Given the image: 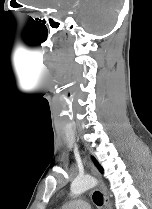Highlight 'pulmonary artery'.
<instances>
[{
    "label": "pulmonary artery",
    "instance_id": "1",
    "mask_svg": "<svg viewBox=\"0 0 152 209\" xmlns=\"http://www.w3.org/2000/svg\"><path fill=\"white\" fill-rule=\"evenodd\" d=\"M62 209H91V207L87 201L82 199H76L65 203Z\"/></svg>",
    "mask_w": 152,
    "mask_h": 209
}]
</instances>
